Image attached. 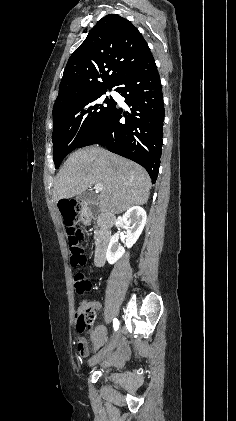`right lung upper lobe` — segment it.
<instances>
[{
    "label": "right lung upper lobe",
    "instance_id": "1",
    "mask_svg": "<svg viewBox=\"0 0 236 421\" xmlns=\"http://www.w3.org/2000/svg\"><path fill=\"white\" fill-rule=\"evenodd\" d=\"M151 55L130 21L116 14L103 17L69 58L53 110L74 98L114 87L130 68Z\"/></svg>",
    "mask_w": 236,
    "mask_h": 421
}]
</instances>
